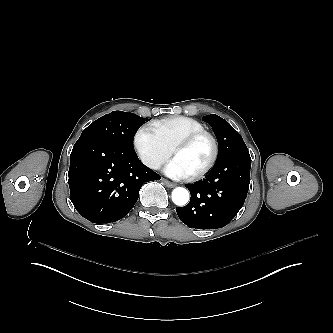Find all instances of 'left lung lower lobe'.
Instances as JSON below:
<instances>
[{"mask_svg": "<svg viewBox=\"0 0 333 333\" xmlns=\"http://www.w3.org/2000/svg\"><path fill=\"white\" fill-rule=\"evenodd\" d=\"M250 168L248 150L215 163L205 179L186 185L191 199L186 206L176 208L180 220L197 229H217L227 225L247 197Z\"/></svg>", "mask_w": 333, "mask_h": 333, "instance_id": "0a47b994", "label": "left lung lower lobe"}]
</instances>
